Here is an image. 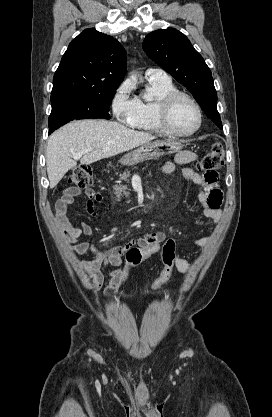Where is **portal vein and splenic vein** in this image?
<instances>
[{"mask_svg":"<svg viewBox=\"0 0 272 417\" xmlns=\"http://www.w3.org/2000/svg\"><path fill=\"white\" fill-rule=\"evenodd\" d=\"M88 151H90V150L88 149V150H83V151H80V152L73 153L71 157L75 160H78L82 157L83 154L87 153Z\"/></svg>","mask_w":272,"mask_h":417,"instance_id":"1","label":"portal vein and splenic vein"}]
</instances>
